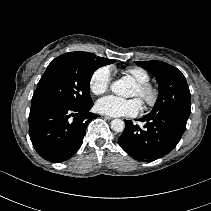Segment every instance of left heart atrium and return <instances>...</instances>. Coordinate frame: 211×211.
Segmentation results:
<instances>
[{"instance_id": "left-heart-atrium-1", "label": "left heart atrium", "mask_w": 211, "mask_h": 211, "mask_svg": "<svg viewBox=\"0 0 211 211\" xmlns=\"http://www.w3.org/2000/svg\"><path fill=\"white\" fill-rule=\"evenodd\" d=\"M96 109L109 116H134L141 110V101L137 98L124 99L117 96H106L96 102Z\"/></svg>"}]
</instances>
